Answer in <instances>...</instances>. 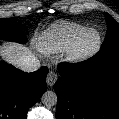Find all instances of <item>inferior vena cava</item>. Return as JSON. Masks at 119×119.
<instances>
[{"label":"inferior vena cava","mask_w":119,"mask_h":119,"mask_svg":"<svg viewBox=\"0 0 119 119\" xmlns=\"http://www.w3.org/2000/svg\"><path fill=\"white\" fill-rule=\"evenodd\" d=\"M19 68L24 72H34L40 68V61L37 57L31 56L19 64Z\"/></svg>","instance_id":"inferior-vena-cava-1"}]
</instances>
